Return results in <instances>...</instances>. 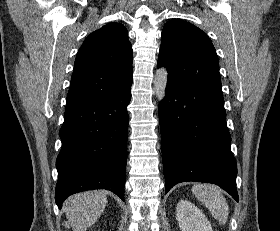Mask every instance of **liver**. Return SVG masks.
<instances>
[{
	"instance_id": "obj_1",
	"label": "liver",
	"mask_w": 280,
	"mask_h": 231,
	"mask_svg": "<svg viewBox=\"0 0 280 231\" xmlns=\"http://www.w3.org/2000/svg\"><path fill=\"white\" fill-rule=\"evenodd\" d=\"M106 203L105 191H82L68 197L66 217L71 221L74 231H86L100 217Z\"/></svg>"
}]
</instances>
